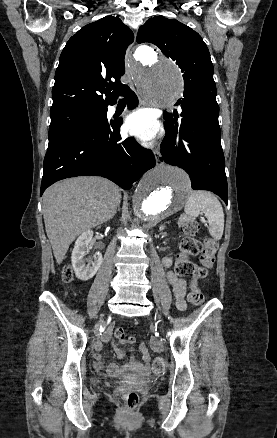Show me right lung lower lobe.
<instances>
[{
    "label": "right lung lower lobe",
    "instance_id": "1",
    "mask_svg": "<svg viewBox=\"0 0 277 438\" xmlns=\"http://www.w3.org/2000/svg\"><path fill=\"white\" fill-rule=\"evenodd\" d=\"M128 107L137 103L135 93L127 87ZM116 99L108 103L112 105ZM107 105V106H108ZM107 106L100 125H86L49 141L44 158L41 192L61 179L93 175L130 189L147 170L155 166L153 153L143 149L133 138L121 139L119 123L108 122Z\"/></svg>",
    "mask_w": 277,
    "mask_h": 438
}]
</instances>
